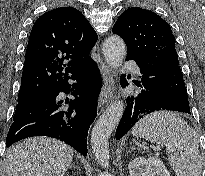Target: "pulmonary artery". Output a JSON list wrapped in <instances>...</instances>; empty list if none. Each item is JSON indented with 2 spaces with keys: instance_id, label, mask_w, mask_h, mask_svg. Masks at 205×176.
Returning <instances> with one entry per match:
<instances>
[{
  "instance_id": "e3ab8cb5",
  "label": "pulmonary artery",
  "mask_w": 205,
  "mask_h": 176,
  "mask_svg": "<svg viewBox=\"0 0 205 176\" xmlns=\"http://www.w3.org/2000/svg\"><path fill=\"white\" fill-rule=\"evenodd\" d=\"M123 69L125 71H131L132 73H134L135 75H137L138 77L141 76L139 67L133 63H131L130 61H128V59H124L123 60Z\"/></svg>"
}]
</instances>
